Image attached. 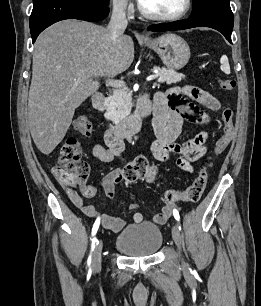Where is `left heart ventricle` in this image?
Listing matches in <instances>:
<instances>
[{"label":"left heart ventricle","mask_w":261,"mask_h":306,"mask_svg":"<svg viewBox=\"0 0 261 306\" xmlns=\"http://www.w3.org/2000/svg\"><path fill=\"white\" fill-rule=\"evenodd\" d=\"M185 0H140L145 9L162 15L178 13L184 6Z\"/></svg>","instance_id":"obj_1"}]
</instances>
